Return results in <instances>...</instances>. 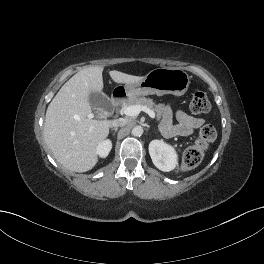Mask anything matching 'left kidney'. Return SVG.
<instances>
[{
	"label": "left kidney",
	"instance_id": "obj_1",
	"mask_svg": "<svg viewBox=\"0 0 264 264\" xmlns=\"http://www.w3.org/2000/svg\"><path fill=\"white\" fill-rule=\"evenodd\" d=\"M149 154L153 164L161 171L169 172L178 164L175 149L163 140H153L149 144Z\"/></svg>",
	"mask_w": 264,
	"mask_h": 264
}]
</instances>
